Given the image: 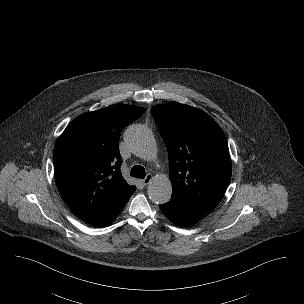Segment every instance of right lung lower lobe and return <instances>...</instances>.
Here are the masks:
<instances>
[{
	"label": "right lung lower lobe",
	"instance_id": "obj_1",
	"mask_svg": "<svg viewBox=\"0 0 304 304\" xmlns=\"http://www.w3.org/2000/svg\"><path fill=\"white\" fill-rule=\"evenodd\" d=\"M133 192L130 193L128 196H126L120 203L117 204V206L108 215H106L100 221L95 223V225L106 226V225L112 223L117 218V216L120 214V212L123 210V208L125 207L127 201L129 200V198L131 197Z\"/></svg>",
	"mask_w": 304,
	"mask_h": 304
}]
</instances>
